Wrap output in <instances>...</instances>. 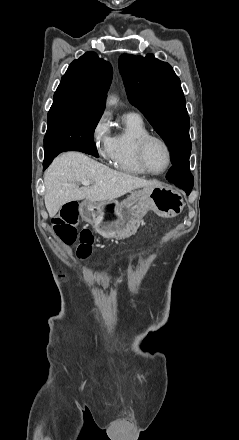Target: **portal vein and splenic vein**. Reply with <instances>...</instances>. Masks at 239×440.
I'll use <instances>...</instances> for the list:
<instances>
[{"instance_id": "18ae733b", "label": "portal vein and splenic vein", "mask_w": 239, "mask_h": 440, "mask_svg": "<svg viewBox=\"0 0 239 440\" xmlns=\"http://www.w3.org/2000/svg\"><path fill=\"white\" fill-rule=\"evenodd\" d=\"M81 184H83V186H90L91 182H90V180H83V182H81Z\"/></svg>"}]
</instances>
